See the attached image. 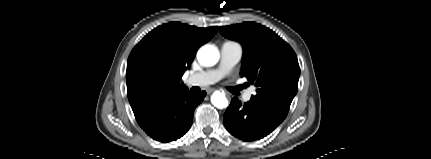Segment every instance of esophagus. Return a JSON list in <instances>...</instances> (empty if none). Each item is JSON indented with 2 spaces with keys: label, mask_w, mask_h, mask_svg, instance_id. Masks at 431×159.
<instances>
[{
  "label": "esophagus",
  "mask_w": 431,
  "mask_h": 159,
  "mask_svg": "<svg viewBox=\"0 0 431 159\" xmlns=\"http://www.w3.org/2000/svg\"><path fill=\"white\" fill-rule=\"evenodd\" d=\"M215 91V89H213V88H209V89H207V93L208 94H211L212 92H214Z\"/></svg>",
  "instance_id": "34e87169"
}]
</instances>
